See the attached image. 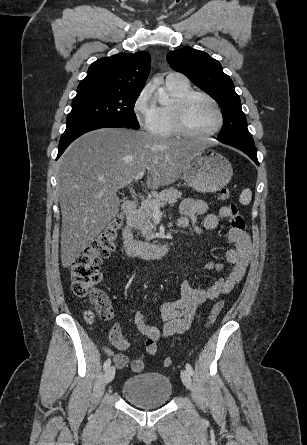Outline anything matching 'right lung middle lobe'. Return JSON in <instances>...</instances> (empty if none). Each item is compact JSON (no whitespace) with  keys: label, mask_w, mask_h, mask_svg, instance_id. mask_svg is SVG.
<instances>
[{"label":"right lung middle lobe","mask_w":307,"mask_h":445,"mask_svg":"<svg viewBox=\"0 0 307 445\" xmlns=\"http://www.w3.org/2000/svg\"><path fill=\"white\" fill-rule=\"evenodd\" d=\"M139 95L90 94L75 96L66 126L107 122L138 129L134 105Z\"/></svg>","instance_id":"obj_1"}]
</instances>
